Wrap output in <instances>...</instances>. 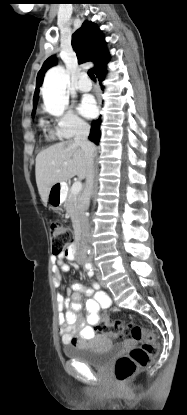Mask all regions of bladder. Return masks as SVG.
<instances>
[{
  "label": "bladder",
  "instance_id": "1",
  "mask_svg": "<svg viewBox=\"0 0 187 415\" xmlns=\"http://www.w3.org/2000/svg\"><path fill=\"white\" fill-rule=\"evenodd\" d=\"M121 348L122 345L117 344L101 351H92L78 345H67L63 351L67 358L80 360L95 368H105L121 352Z\"/></svg>",
  "mask_w": 187,
  "mask_h": 415
}]
</instances>
